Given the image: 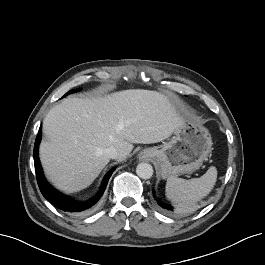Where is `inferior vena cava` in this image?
<instances>
[{"mask_svg":"<svg viewBox=\"0 0 265 265\" xmlns=\"http://www.w3.org/2000/svg\"><path fill=\"white\" fill-rule=\"evenodd\" d=\"M104 155L108 158V159H117L119 156V153L117 151V149L113 146L108 147L105 149L104 151Z\"/></svg>","mask_w":265,"mask_h":265,"instance_id":"obj_1","label":"inferior vena cava"}]
</instances>
